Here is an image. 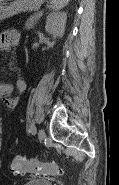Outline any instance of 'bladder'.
Instances as JSON below:
<instances>
[{"label":"bladder","mask_w":119,"mask_h":185,"mask_svg":"<svg viewBox=\"0 0 119 185\" xmlns=\"http://www.w3.org/2000/svg\"><path fill=\"white\" fill-rule=\"evenodd\" d=\"M23 185H53L51 181L46 179H30Z\"/></svg>","instance_id":"bladder-1"}]
</instances>
